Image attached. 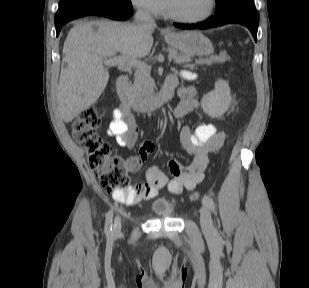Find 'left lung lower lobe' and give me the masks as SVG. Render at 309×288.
Segmentation results:
<instances>
[{"instance_id":"left-lung-lower-lobe-1","label":"left lung lower lobe","mask_w":309,"mask_h":288,"mask_svg":"<svg viewBox=\"0 0 309 288\" xmlns=\"http://www.w3.org/2000/svg\"><path fill=\"white\" fill-rule=\"evenodd\" d=\"M230 23H238L248 27L255 41H257L259 15L252 0L234 3L225 10L215 13L214 16L204 22L196 24L175 23L174 26L182 29H208Z\"/></svg>"}]
</instances>
